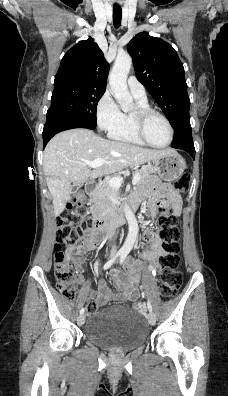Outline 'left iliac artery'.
I'll list each match as a JSON object with an SVG mask.
<instances>
[{"mask_svg": "<svg viewBox=\"0 0 228 396\" xmlns=\"http://www.w3.org/2000/svg\"><path fill=\"white\" fill-rule=\"evenodd\" d=\"M128 253L127 252H123L120 256V263L122 264L124 262V260L126 259ZM147 307L149 312H152V305L150 303V301H147Z\"/></svg>", "mask_w": 228, "mask_h": 396, "instance_id": "left-iliac-artery-1", "label": "left iliac artery"}]
</instances>
